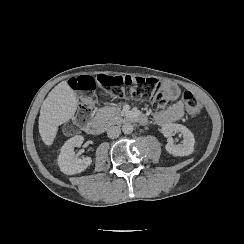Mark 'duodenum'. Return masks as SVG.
<instances>
[{
	"mask_svg": "<svg viewBox=\"0 0 244 244\" xmlns=\"http://www.w3.org/2000/svg\"><path fill=\"white\" fill-rule=\"evenodd\" d=\"M130 119L141 125L147 123V117L142 114L134 115ZM105 126L106 124L102 119L92 118L86 122L85 130L88 134L97 136L103 133Z\"/></svg>",
	"mask_w": 244,
	"mask_h": 244,
	"instance_id": "duodenum-1",
	"label": "duodenum"
}]
</instances>
